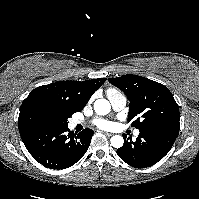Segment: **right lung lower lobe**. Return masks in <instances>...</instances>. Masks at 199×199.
I'll return each instance as SVG.
<instances>
[{
    "mask_svg": "<svg viewBox=\"0 0 199 199\" xmlns=\"http://www.w3.org/2000/svg\"><path fill=\"white\" fill-rule=\"evenodd\" d=\"M20 134L27 150L40 164L51 169H63L85 154L94 131L83 129L74 135L64 126L25 128Z\"/></svg>",
    "mask_w": 199,
    "mask_h": 199,
    "instance_id": "1",
    "label": "right lung lower lobe"
}]
</instances>
